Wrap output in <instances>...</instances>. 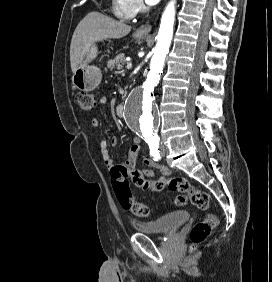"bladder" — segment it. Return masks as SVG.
Returning a JSON list of instances; mask_svg holds the SVG:
<instances>
[{
	"label": "bladder",
	"instance_id": "1",
	"mask_svg": "<svg viewBox=\"0 0 272 282\" xmlns=\"http://www.w3.org/2000/svg\"><path fill=\"white\" fill-rule=\"evenodd\" d=\"M189 218L187 211H176L153 221L133 220L135 229L144 234H164L174 232Z\"/></svg>",
	"mask_w": 272,
	"mask_h": 282
}]
</instances>
